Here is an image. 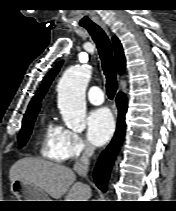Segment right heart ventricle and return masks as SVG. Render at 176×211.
<instances>
[{
	"label": "right heart ventricle",
	"instance_id": "1",
	"mask_svg": "<svg viewBox=\"0 0 176 211\" xmlns=\"http://www.w3.org/2000/svg\"><path fill=\"white\" fill-rule=\"evenodd\" d=\"M65 131L53 120L45 121L39 139V149L42 156L57 162L65 159L63 150Z\"/></svg>",
	"mask_w": 176,
	"mask_h": 211
}]
</instances>
